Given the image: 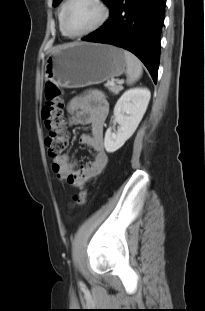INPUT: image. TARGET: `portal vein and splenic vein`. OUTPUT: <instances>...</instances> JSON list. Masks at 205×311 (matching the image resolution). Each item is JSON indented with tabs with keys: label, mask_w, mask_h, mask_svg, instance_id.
Returning <instances> with one entry per match:
<instances>
[{
	"label": "portal vein and splenic vein",
	"mask_w": 205,
	"mask_h": 311,
	"mask_svg": "<svg viewBox=\"0 0 205 311\" xmlns=\"http://www.w3.org/2000/svg\"><path fill=\"white\" fill-rule=\"evenodd\" d=\"M121 83V82H119ZM109 85H115V82L112 80L111 82H109Z\"/></svg>",
	"instance_id": "18ae733b"
}]
</instances>
